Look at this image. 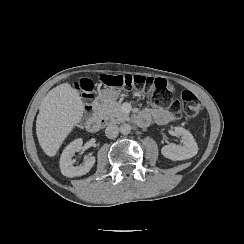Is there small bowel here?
<instances>
[{
  "label": "small bowel",
  "instance_id": "c3829d8e",
  "mask_svg": "<svg viewBox=\"0 0 244 244\" xmlns=\"http://www.w3.org/2000/svg\"><path fill=\"white\" fill-rule=\"evenodd\" d=\"M141 116L147 120L152 118L159 125L174 122L179 117L178 114L162 107L146 108L141 113Z\"/></svg>",
  "mask_w": 244,
  "mask_h": 244
}]
</instances>
